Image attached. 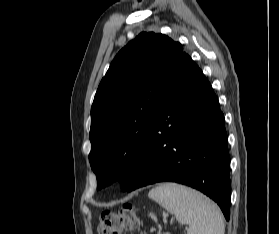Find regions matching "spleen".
<instances>
[{"label":"spleen","instance_id":"3e777b00","mask_svg":"<svg viewBox=\"0 0 279 234\" xmlns=\"http://www.w3.org/2000/svg\"><path fill=\"white\" fill-rule=\"evenodd\" d=\"M148 196L174 214L180 224L189 225L187 234L225 232L224 218L219 207L190 187L163 183L152 189Z\"/></svg>","mask_w":279,"mask_h":234}]
</instances>
